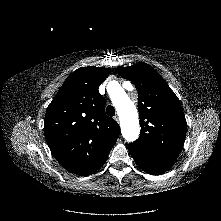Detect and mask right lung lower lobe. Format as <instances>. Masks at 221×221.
<instances>
[{
  "mask_svg": "<svg viewBox=\"0 0 221 221\" xmlns=\"http://www.w3.org/2000/svg\"><path fill=\"white\" fill-rule=\"evenodd\" d=\"M109 154L105 155L97 164H95L94 166L88 168V169H85V170H82L80 172H77L76 174L77 175H80V176H87V175H90V174H93L95 171H97L106 161L107 157H108Z\"/></svg>",
  "mask_w": 221,
  "mask_h": 221,
  "instance_id": "obj_1",
  "label": "right lung lower lobe"
}]
</instances>
